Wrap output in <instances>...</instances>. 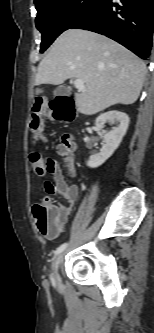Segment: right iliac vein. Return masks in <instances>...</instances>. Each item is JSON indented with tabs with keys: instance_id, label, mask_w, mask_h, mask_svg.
Returning <instances> with one entry per match:
<instances>
[{
	"instance_id": "right-iliac-vein-1",
	"label": "right iliac vein",
	"mask_w": 154,
	"mask_h": 333,
	"mask_svg": "<svg viewBox=\"0 0 154 333\" xmlns=\"http://www.w3.org/2000/svg\"><path fill=\"white\" fill-rule=\"evenodd\" d=\"M61 259H62V254H59V255L56 256V258L52 262L51 267H52V271L54 273L53 278H54L55 281H58V269H59Z\"/></svg>"
}]
</instances>
